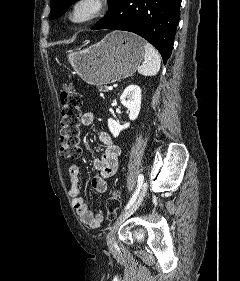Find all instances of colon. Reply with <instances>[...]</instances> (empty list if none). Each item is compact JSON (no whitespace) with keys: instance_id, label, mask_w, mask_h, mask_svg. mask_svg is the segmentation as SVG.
Listing matches in <instances>:
<instances>
[{"instance_id":"1","label":"colon","mask_w":240,"mask_h":281,"mask_svg":"<svg viewBox=\"0 0 240 281\" xmlns=\"http://www.w3.org/2000/svg\"><path fill=\"white\" fill-rule=\"evenodd\" d=\"M61 102V146L60 154L68 160H75L81 154V94L71 85L66 84L60 92ZM120 207L119 193L114 191L106 203L109 217L117 214Z\"/></svg>"}]
</instances>
